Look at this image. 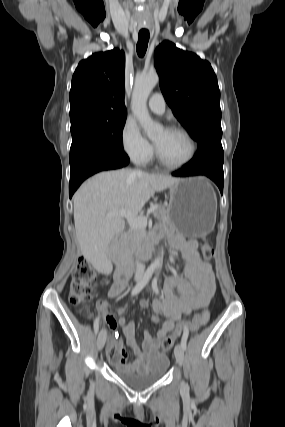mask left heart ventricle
I'll return each instance as SVG.
<instances>
[{
	"instance_id": "b2bd125f",
	"label": "left heart ventricle",
	"mask_w": 285,
	"mask_h": 427,
	"mask_svg": "<svg viewBox=\"0 0 285 427\" xmlns=\"http://www.w3.org/2000/svg\"><path fill=\"white\" fill-rule=\"evenodd\" d=\"M160 156L169 163H179L189 153V143L180 133L160 130L153 138Z\"/></svg>"
}]
</instances>
